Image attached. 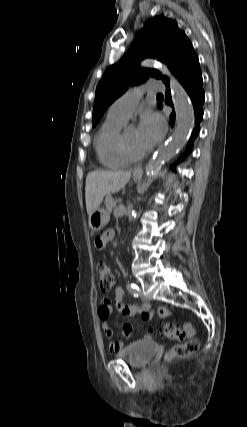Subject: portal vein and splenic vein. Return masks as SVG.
Instances as JSON below:
<instances>
[{"label": "portal vein and splenic vein", "instance_id": "1", "mask_svg": "<svg viewBox=\"0 0 247 427\" xmlns=\"http://www.w3.org/2000/svg\"><path fill=\"white\" fill-rule=\"evenodd\" d=\"M121 201H122L121 198L116 199V202H121Z\"/></svg>", "mask_w": 247, "mask_h": 427}]
</instances>
